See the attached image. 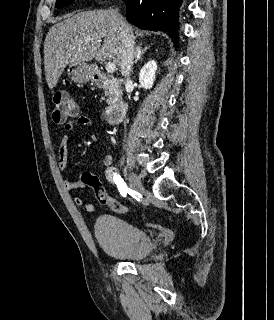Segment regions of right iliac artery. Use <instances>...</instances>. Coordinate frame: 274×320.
<instances>
[{
  "mask_svg": "<svg viewBox=\"0 0 274 320\" xmlns=\"http://www.w3.org/2000/svg\"><path fill=\"white\" fill-rule=\"evenodd\" d=\"M113 180L116 183V185H117V187L119 189V192L123 197H126L127 193H129L133 198H135L136 200L140 201V199L142 198V195L140 193L136 192L135 190H132V189L128 188L126 183L120 177L119 174L113 173Z\"/></svg>",
  "mask_w": 274,
  "mask_h": 320,
  "instance_id": "right-iliac-artery-1",
  "label": "right iliac artery"
}]
</instances>
